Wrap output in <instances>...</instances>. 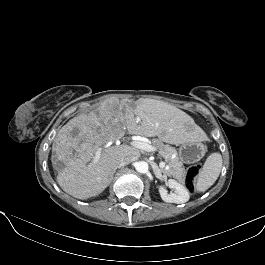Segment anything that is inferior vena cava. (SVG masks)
<instances>
[{
    "instance_id": "inferior-vena-cava-1",
    "label": "inferior vena cava",
    "mask_w": 265,
    "mask_h": 265,
    "mask_svg": "<svg viewBox=\"0 0 265 265\" xmlns=\"http://www.w3.org/2000/svg\"><path fill=\"white\" fill-rule=\"evenodd\" d=\"M136 160V157L135 156H125L124 158H122L119 162H118V165L117 167L120 168L122 166H125V165H128L130 163H132L133 161Z\"/></svg>"
}]
</instances>
